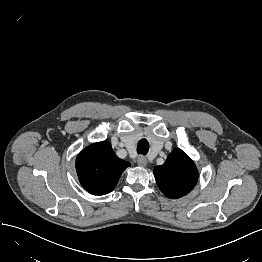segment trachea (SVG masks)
I'll use <instances>...</instances> for the list:
<instances>
[{
	"label": "trachea",
	"mask_w": 262,
	"mask_h": 262,
	"mask_svg": "<svg viewBox=\"0 0 262 262\" xmlns=\"http://www.w3.org/2000/svg\"><path fill=\"white\" fill-rule=\"evenodd\" d=\"M149 151V143L147 142L146 139H142L138 142L137 145V153L146 155Z\"/></svg>",
	"instance_id": "obj_1"
}]
</instances>
